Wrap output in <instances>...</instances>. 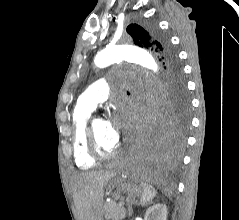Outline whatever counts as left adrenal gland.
<instances>
[{
  "label": "left adrenal gland",
  "instance_id": "obj_1",
  "mask_svg": "<svg viewBox=\"0 0 239 220\" xmlns=\"http://www.w3.org/2000/svg\"><path fill=\"white\" fill-rule=\"evenodd\" d=\"M126 202H127V205H128V216H132V214H133V208H132L133 205H138V206L141 205V203L138 202L135 199V197H133V198L128 197Z\"/></svg>",
  "mask_w": 239,
  "mask_h": 220
}]
</instances>
